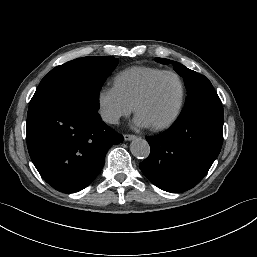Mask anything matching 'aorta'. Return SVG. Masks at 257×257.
I'll list each match as a JSON object with an SVG mask.
<instances>
[{
  "label": "aorta",
  "mask_w": 257,
  "mask_h": 257,
  "mask_svg": "<svg viewBox=\"0 0 257 257\" xmlns=\"http://www.w3.org/2000/svg\"><path fill=\"white\" fill-rule=\"evenodd\" d=\"M130 150L133 156L139 159H145L150 154V146L148 142L141 138H136L131 142Z\"/></svg>",
  "instance_id": "obj_1"
}]
</instances>
